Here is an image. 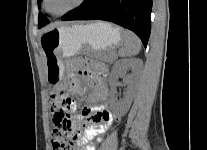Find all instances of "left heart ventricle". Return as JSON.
<instances>
[{
  "label": "left heart ventricle",
  "mask_w": 207,
  "mask_h": 150,
  "mask_svg": "<svg viewBox=\"0 0 207 150\" xmlns=\"http://www.w3.org/2000/svg\"><path fill=\"white\" fill-rule=\"evenodd\" d=\"M77 0H48V8L52 12H61L71 7Z\"/></svg>",
  "instance_id": "obj_1"
}]
</instances>
